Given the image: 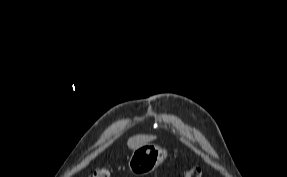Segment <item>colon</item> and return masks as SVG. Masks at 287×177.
<instances>
[{"mask_svg":"<svg viewBox=\"0 0 287 177\" xmlns=\"http://www.w3.org/2000/svg\"><path fill=\"white\" fill-rule=\"evenodd\" d=\"M112 173L108 167H99L97 168L92 177H111ZM183 177H202V171L198 167H192L185 171Z\"/></svg>","mask_w":287,"mask_h":177,"instance_id":"colon-1","label":"colon"}]
</instances>
